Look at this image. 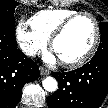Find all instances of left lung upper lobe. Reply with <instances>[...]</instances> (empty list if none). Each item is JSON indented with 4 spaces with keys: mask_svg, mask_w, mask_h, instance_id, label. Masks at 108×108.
I'll return each instance as SVG.
<instances>
[{
    "mask_svg": "<svg viewBox=\"0 0 108 108\" xmlns=\"http://www.w3.org/2000/svg\"><path fill=\"white\" fill-rule=\"evenodd\" d=\"M99 20L101 21L99 24V29L101 33V44L95 53V55H108V23L103 22V18L100 16Z\"/></svg>",
    "mask_w": 108,
    "mask_h": 108,
    "instance_id": "left-lung-upper-lobe-1",
    "label": "left lung upper lobe"
}]
</instances>
